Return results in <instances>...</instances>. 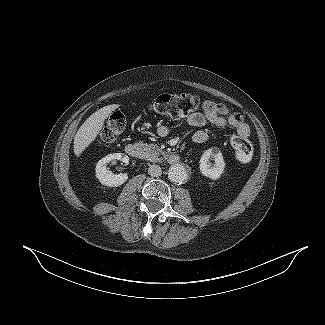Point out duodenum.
I'll return each mask as SVG.
<instances>
[{"instance_id": "obj_1", "label": "duodenum", "mask_w": 325, "mask_h": 325, "mask_svg": "<svg viewBox=\"0 0 325 325\" xmlns=\"http://www.w3.org/2000/svg\"><path fill=\"white\" fill-rule=\"evenodd\" d=\"M126 153L135 159H140L143 155L142 148L139 144L130 143L126 146ZM180 161V156L176 153H171L168 156V162L171 164L177 163Z\"/></svg>"}]
</instances>
